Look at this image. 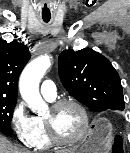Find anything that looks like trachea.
Returning a JSON list of instances; mask_svg holds the SVG:
<instances>
[{
  "mask_svg": "<svg viewBox=\"0 0 130 153\" xmlns=\"http://www.w3.org/2000/svg\"><path fill=\"white\" fill-rule=\"evenodd\" d=\"M45 22H49V19H44Z\"/></svg>",
  "mask_w": 130,
  "mask_h": 153,
  "instance_id": "3493384b",
  "label": "trachea"
}]
</instances>
